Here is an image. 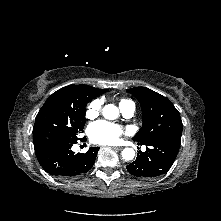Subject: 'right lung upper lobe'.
<instances>
[{"instance_id": "right-lung-upper-lobe-1", "label": "right lung upper lobe", "mask_w": 221, "mask_h": 221, "mask_svg": "<svg viewBox=\"0 0 221 221\" xmlns=\"http://www.w3.org/2000/svg\"><path fill=\"white\" fill-rule=\"evenodd\" d=\"M57 93H65L70 99L74 100L78 97L85 96L89 101L93 98L105 93L104 89L94 88L88 85H69L56 91Z\"/></svg>"}]
</instances>
